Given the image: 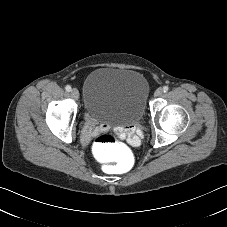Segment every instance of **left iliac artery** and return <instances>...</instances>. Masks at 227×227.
<instances>
[{"label":"left iliac artery","instance_id":"left-iliac-artery-1","mask_svg":"<svg viewBox=\"0 0 227 227\" xmlns=\"http://www.w3.org/2000/svg\"><path fill=\"white\" fill-rule=\"evenodd\" d=\"M168 90H169V87H168V86H164V87H163V91H164V92H167Z\"/></svg>","mask_w":227,"mask_h":227}]
</instances>
